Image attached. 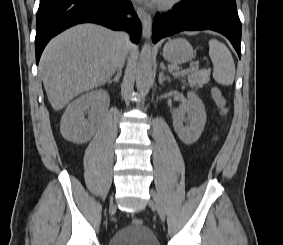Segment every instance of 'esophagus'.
<instances>
[{"label":"esophagus","instance_id":"esophagus-1","mask_svg":"<svg viewBox=\"0 0 283 245\" xmlns=\"http://www.w3.org/2000/svg\"><path fill=\"white\" fill-rule=\"evenodd\" d=\"M135 11L141 20L143 31L142 35L145 38L150 37L151 34V24H152V19L149 13H147L144 9H142L139 6L135 5Z\"/></svg>","mask_w":283,"mask_h":245}]
</instances>
